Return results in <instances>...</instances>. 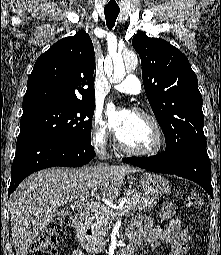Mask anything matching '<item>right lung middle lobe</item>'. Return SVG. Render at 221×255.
<instances>
[{"instance_id":"1","label":"right lung middle lobe","mask_w":221,"mask_h":255,"mask_svg":"<svg viewBox=\"0 0 221 255\" xmlns=\"http://www.w3.org/2000/svg\"><path fill=\"white\" fill-rule=\"evenodd\" d=\"M94 103L45 105L23 110L20 133L91 144Z\"/></svg>"}]
</instances>
